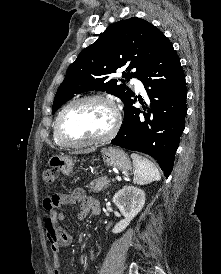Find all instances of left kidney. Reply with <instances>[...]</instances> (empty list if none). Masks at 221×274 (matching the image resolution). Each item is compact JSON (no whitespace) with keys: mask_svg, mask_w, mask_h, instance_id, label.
I'll list each match as a JSON object with an SVG mask.
<instances>
[{"mask_svg":"<svg viewBox=\"0 0 221 274\" xmlns=\"http://www.w3.org/2000/svg\"><path fill=\"white\" fill-rule=\"evenodd\" d=\"M113 203L124 216V219L119 221L112 230L117 234L125 230L131 220L142 210L145 204V193L139 188L125 186L114 195Z\"/></svg>","mask_w":221,"mask_h":274,"instance_id":"5707ae66","label":"left kidney"}]
</instances>
